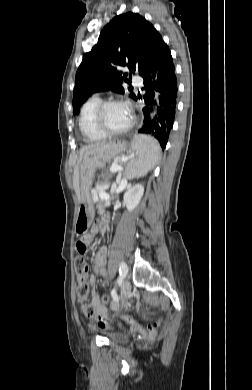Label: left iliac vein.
I'll return each mask as SVG.
<instances>
[{
    "label": "left iliac vein",
    "instance_id": "4c4485c4",
    "mask_svg": "<svg viewBox=\"0 0 252 390\" xmlns=\"http://www.w3.org/2000/svg\"><path fill=\"white\" fill-rule=\"evenodd\" d=\"M130 292H131V285L128 279H126L122 283V288H121V301H122V307H124L127 303V301L130 298Z\"/></svg>",
    "mask_w": 252,
    "mask_h": 390
}]
</instances>
